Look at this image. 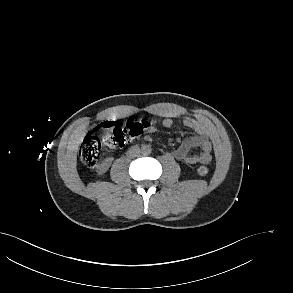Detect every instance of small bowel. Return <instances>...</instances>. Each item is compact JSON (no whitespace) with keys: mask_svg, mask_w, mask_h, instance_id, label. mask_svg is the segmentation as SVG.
I'll use <instances>...</instances> for the list:
<instances>
[{"mask_svg":"<svg viewBox=\"0 0 293 293\" xmlns=\"http://www.w3.org/2000/svg\"><path fill=\"white\" fill-rule=\"evenodd\" d=\"M173 121L170 118H164L161 125L164 128H170ZM183 124L191 129L194 134L187 137L174 151L173 156L188 164H207L212 160V144L207 136L205 125L193 118H185ZM154 129H151L153 131ZM198 147L200 151L196 154L190 155L192 148Z\"/></svg>","mask_w":293,"mask_h":293,"instance_id":"c3829d8e","label":"small bowel"}]
</instances>
